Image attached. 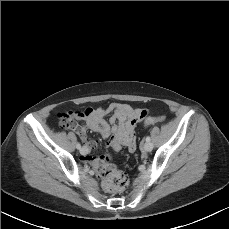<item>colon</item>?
<instances>
[{"instance_id": "5ec220e1", "label": "colon", "mask_w": 229, "mask_h": 229, "mask_svg": "<svg viewBox=\"0 0 229 229\" xmlns=\"http://www.w3.org/2000/svg\"><path fill=\"white\" fill-rule=\"evenodd\" d=\"M147 114L146 109H140L139 118L145 119L144 123L146 125H152L164 119L162 116L147 117ZM65 122V126L70 127L75 122L74 113H70L69 116H66ZM101 180L104 189L109 193H118L124 190L129 183L128 175L110 164L103 166L101 170Z\"/></svg>"}]
</instances>
